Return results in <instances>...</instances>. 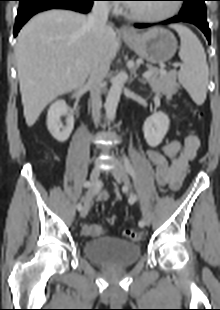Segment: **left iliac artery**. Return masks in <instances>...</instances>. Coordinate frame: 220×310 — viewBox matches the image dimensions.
<instances>
[{
  "mask_svg": "<svg viewBox=\"0 0 220 310\" xmlns=\"http://www.w3.org/2000/svg\"><path fill=\"white\" fill-rule=\"evenodd\" d=\"M123 161H124L126 171L133 177V179H135V172L133 170V167H132L128 157L123 155ZM128 201H129L130 205L134 204L136 201V196L135 195L131 196ZM144 224L145 223L143 220L139 221V223H138L139 226H144Z\"/></svg>",
  "mask_w": 220,
  "mask_h": 310,
  "instance_id": "44dca946",
  "label": "left iliac artery"
}]
</instances>
